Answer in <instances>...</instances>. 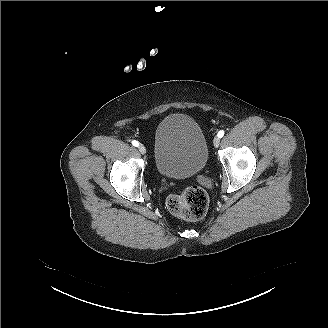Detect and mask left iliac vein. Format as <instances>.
Here are the masks:
<instances>
[{
    "label": "left iliac vein",
    "mask_w": 328,
    "mask_h": 328,
    "mask_svg": "<svg viewBox=\"0 0 328 328\" xmlns=\"http://www.w3.org/2000/svg\"><path fill=\"white\" fill-rule=\"evenodd\" d=\"M219 143H220V138L218 136H215L213 139L214 147H218Z\"/></svg>",
    "instance_id": "1"
}]
</instances>
